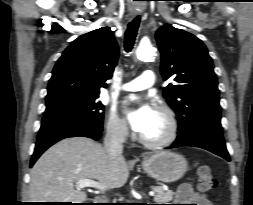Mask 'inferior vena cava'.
<instances>
[{
    "label": "inferior vena cava",
    "instance_id": "1",
    "mask_svg": "<svg viewBox=\"0 0 253 205\" xmlns=\"http://www.w3.org/2000/svg\"><path fill=\"white\" fill-rule=\"evenodd\" d=\"M127 134V128L124 124L111 126L107 129L104 138V148L110 157L121 156L123 152V142Z\"/></svg>",
    "mask_w": 253,
    "mask_h": 205
}]
</instances>
